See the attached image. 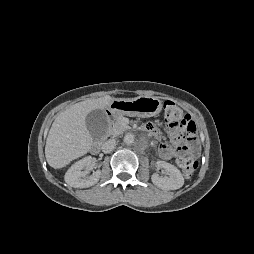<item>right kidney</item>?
<instances>
[{
    "label": "right kidney",
    "instance_id": "1",
    "mask_svg": "<svg viewBox=\"0 0 254 254\" xmlns=\"http://www.w3.org/2000/svg\"><path fill=\"white\" fill-rule=\"evenodd\" d=\"M93 159L87 156L74 163L65 174V182L74 188H88L95 185L100 178L101 171L97 170L91 176H87L83 169L92 165Z\"/></svg>",
    "mask_w": 254,
    "mask_h": 254
}]
</instances>
